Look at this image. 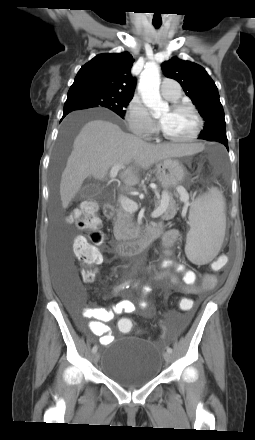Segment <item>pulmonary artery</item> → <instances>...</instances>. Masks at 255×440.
Segmentation results:
<instances>
[{
	"instance_id": "pulmonary-artery-1",
	"label": "pulmonary artery",
	"mask_w": 255,
	"mask_h": 440,
	"mask_svg": "<svg viewBox=\"0 0 255 440\" xmlns=\"http://www.w3.org/2000/svg\"><path fill=\"white\" fill-rule=\"evenodd\" d=\"M160 90L162 96L170 101L177 100L181 95L179 85L172 79H163Z\"/></svg>"
}]
</instances>
